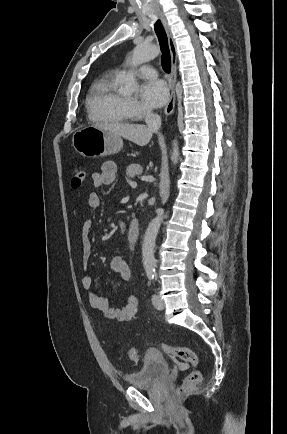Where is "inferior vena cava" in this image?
I'll list each match as a JSON object with an SVG mask.
<instances>
[{"mask_svg":"<svg viewBox=\"0 0 287 434\" xmlns=\"http://www.w3.org/2000/svg\"><path fill=\"white\" fill-rule=\"evenodd\" d=\"M145 122L149 128L158 130L161 125V117L158 114L152 113L151 111H146Z\"/></svg>","mask_w":287,"mask_h":434,"instance_id":"602c4592","label":"inferior vena cava"}]
</instances>
